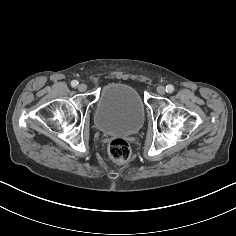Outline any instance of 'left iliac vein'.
<instances>
[{
  "label": "left iliac vein",
  "instance_id": "1",
  "mask_svg": "<svg viewBox=\"0 0 236 236\" xmlns=\"http://www.w3.org/2000/svg\"><path fill=\"white\" fill-rule=\"evenodd\" d=\"M157 92L160 95H164L165 94V87L164 86H158L157 87Z\"/></svg>",
  "mask_w": 236,
  "mask_h": 236
}]
</instances>
